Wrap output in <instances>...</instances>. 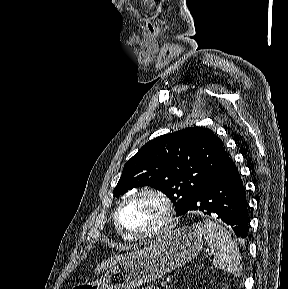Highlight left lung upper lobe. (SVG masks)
I'll return each instance as SVG.
<instances>
[{
	"label": "left lung upper lobe",
	"mask_w": 288,
	"mask_h": 289,
	"mask_svg": "<svg viewBox=\"0 0 288 289\" xmlns=\"http://www.w3.org/2000/svg\"><path fill=\"white\" fill-rule=\"evenodd\" d=\"M227 158L221 139L210 129L193 127L162 135L126 162L114 193L118 197L151 186L173 202L179 216Z\"/></svg>",
	"instance_id": "1"
}]
</instances>
